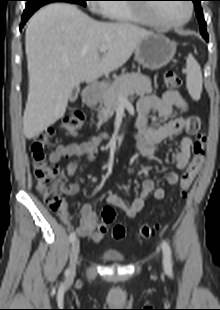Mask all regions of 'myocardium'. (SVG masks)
Listing matches in <instances>:
<instances>
[{"mask_svg":"<svg viewBox=\"0 0 220 310\" xmlns=\"http://www.w3.org/2000/svg\"><path fill=\"white\" fill-rule=\"evenodd\" d=\"M186 7H187V15L182 20L177 21V22L172 23V22L163 21L159 19L157 16H155L154 14L152 15L150 14L149 18L151 20L152 25L155 27L166 28V29L179 28L185 25L192 17V14H193L192 5L190 3H186ZM135 10L139 15L147 16V12L143 8L136 7Z\"/></svg>","mask_w":220,"mask_h":310,"instance_id":"1","label":"myocardium"}]
</instances>
